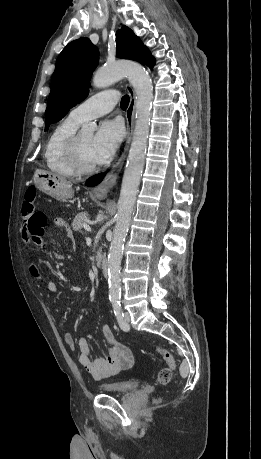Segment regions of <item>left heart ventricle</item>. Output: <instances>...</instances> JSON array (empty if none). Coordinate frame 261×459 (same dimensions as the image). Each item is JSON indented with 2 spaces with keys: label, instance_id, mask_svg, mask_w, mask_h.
I'll return each instance as SVG.
<instances>
[{
  "label": "left heart ventricle",
  "instance_id": "obj_1",
  "mask_svg": "<svg viewBox=\"0 0 261 459\" xmlns=\"http://www.w3.org/2000/svg\"><path fill=\"white\" fill-rule=\"evenodd\" d=\"M93 137L94 135L89 132L80 133L82 158L87 165L96 164L93 159Z\"/></svg>",
  "mask_w": 261,
  "mask_h": 459
}]
</instances>
